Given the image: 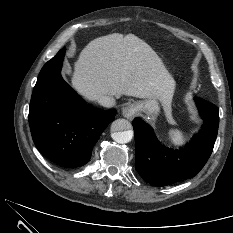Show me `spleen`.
<instances>
[{"mask_svg":"<svg viewBox=\"0 0 233 233\" xmlns=\"http://www.w3.org/2000/svg\"><path fill=\"white\" fill-rule=\"evenodd\" d=\"M169 140L174 146L180 147L185 143L184 136L178 129H171L169 131Z\"/></svg>","mask_w":233,"mask_h":233,"instance_id":"1","label":"spleen"}]
</instances>
